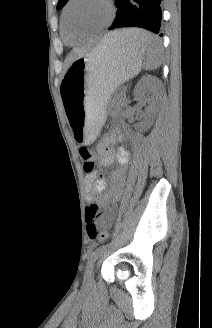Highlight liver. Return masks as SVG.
<instances>
[{
	"label": "liver",
	"mask_w": 212,
	"mask_h": 328,
	"mask_svg": "<svg viewBox=\"0 0 212 328\" xmlns=\"http://www.w3.org/2000/svg\"><path fill=\"white\" fill-rule=\"evenodd\" d=\"M129 30L130 29H126V30H122V31H116L118 32L119 34L123 35L125 39L128 38L129 36ZM116 32H112V33H109L107 34L106 36H109V35H116L117 33ZM85 53H87V50L85 49H81V48H75L71 51L68 59H67V63L70 65L72 62H74L78 57H81L83 56Z\"/></svg>",
	"instance_id": "obj_1"
}]
</instances>
